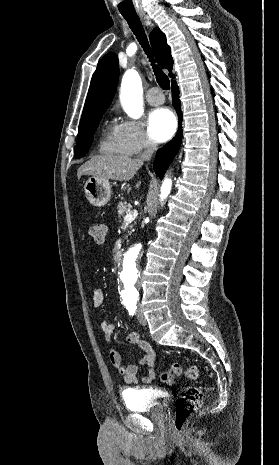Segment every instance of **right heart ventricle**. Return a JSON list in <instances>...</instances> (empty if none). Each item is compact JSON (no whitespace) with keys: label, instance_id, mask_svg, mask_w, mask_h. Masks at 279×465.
<instances>
[{"label":"right heart ventricle","instance_id":"obj_1","mask_svg":"<svg viewBox=\"0 0 279 465\" xmlns=\"http://www.w3.org/2000/svg\"><path fill=\"white\" fill-rule=\"evenodd\" d=\"M99 151L103 154L129 155V151L124 145L118 132V126L110 123L105 135L100 142Z\"/></svg>","mask_w":279,"mask_h":465}]
</instances>
